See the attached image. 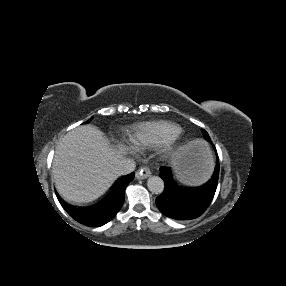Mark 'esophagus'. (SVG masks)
<instances>
[{"instance_id":"esophagus-1","label":"esophagus","mask_w":286,"mask_h":286,"mask_svg":"<svg viewBox=\"0 0 286 286\" xmlns=\"http://www.w3.org/2000/svg\"><path fill=\"white\" fill-rule=\"evenodd\" d=\"M150 175H151V171L146 166L136 172L137 179H145L149 177Z\"/></svg>"}]
</instances>
